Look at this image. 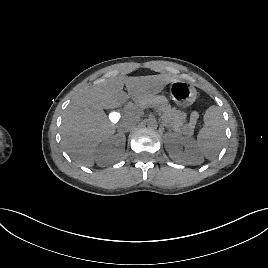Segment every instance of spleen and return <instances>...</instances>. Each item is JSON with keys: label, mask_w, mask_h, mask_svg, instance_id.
I'll use <instances>...</instances> for the list:
<instances>
[{"label": "spleen", "mask_w": 268, "mask_h": 268, "mask_svg": "<svg viewBox=\"0 0 268 268\" xmlns=\"http://www.w3.org/2000/svg\"><path fill=\"white\" fill-rule=\"evenodd\" d=\"M204 125L197 136V148L207 159L213 160L225 141V121L218 106H210L204 114Z\"/></svg>", "instance_id": "spleen-1"}]
</instances>
